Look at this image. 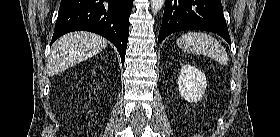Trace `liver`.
I'll return each mask as SVG.
<instances>
[{
	"mask_svg": "<svg viewBox=\"0 0 280 137\" xmlns=\"http://www.w3.org/2000/svg\"><path fill=\"white\" fill-rule=\"evenodd\" d=\"M107 46V40L90 32H73L59 38L48 59V73L55 75L98 53Z\"/></svg>",
	"mask_w": 280,
	"mask_h": 137,
	"instance_id": "liver-1",
	"label": "liver"
}]
</instances>
